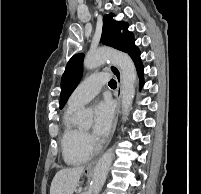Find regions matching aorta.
<instances>
[{"instance_id":"1","label":"aorta","mask_w":201,"mask_h":194,"mask_svg":"<svg viewBox=\"0 0 201 194\" xmlns=\"http://www.w3.org/2000/svg\"><path fill=\"white\" fill-rule=\"evenodd\" d=\"M105 62H111L117 65L122 73V89H121V101L123 119H126V115L131 109L133 98L135 95V82H136V68L135 65L126 53L111 49V48H98L90 51L84 58L83 66L85 69L91 70L99 67ZM79 123L83 126H89L92 122V112L87 109L80 110L77 114ZM114 159L113 148H109L98 160L92 177V194H99L105 180L107 178L108 171Z\"/></svg>"}]
</instances>
